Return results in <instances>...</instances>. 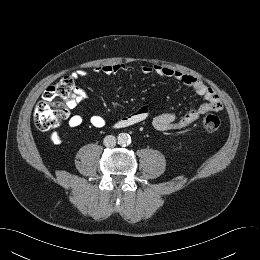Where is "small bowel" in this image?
Segmentation results:
<instances>
[{
    "instance_id": "obj_1",
    "label": "small bowel",
    "mask_w": 260,
    "mask_h": 260,
    "mask_svg": "<svg viewBox=\"0 0 260 260\" xmlns=\"http://www.w3.org/2000/svg\"><path fill=\"white\" fill-rule=\"evenodd\" d=\"M96 73H102L106 75H114L119 72H131L132 69L126 64L116 63V64H106L99 66L94 69ZM141 72L145 75L155 74L161 77L173 78L179 81L182 85L193 89L198 95L205 99V103L201 104L198 108L193 109L185 113L181 118H177L174 114L165 113L156 116L152 125L153 128L159 132L167 131H178L183 130L190 124L195 122L200 116L208 112H219L223 109V103L219 95L208 85H206L200 79L185 74L181 71L174 70L163 65H144L141 68ZM76 79L83 78L86 75L85 70H76L73 74ZM77 99L70 103L69 108L73 109L79 100L83 97L84 93L81 88H77ZM151 115V108L148 104L142 105L134 113L121 117L117 119L113 126L115 128H127L137 124H140L149 119ZM68 125L71 128L79 127L83 119L78 114H68L67 115ZM90 122L94 127L101 128L105 125V119L100 115H93L90 118ZM60 136L57 133L51 135V141L55 144L60 142Z\"/></svg>"
}]
</instances>
